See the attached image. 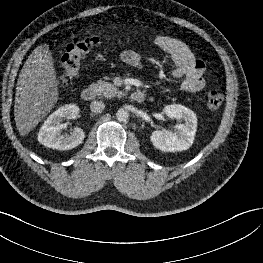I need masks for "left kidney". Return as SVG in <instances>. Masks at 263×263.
I'll use <instances>...</instances> for the list:
<instances>
[{"label": "left kidney", "mask_w": 263, "mask_h": 263, "mask_svg": "<svg viewBox=\"0 0 263 263\" xmlns=\"http://www.w3.org/2000/svg\"><path fill=\"white\" fill-rule=\"evenodd\" d=\"M170 119L184 120L183 124L175 125V132L156 130L151 134L152 144L163 152H177L189 149L194 141L197 128L196 114L185 106L172 104L164 108Z\"/></svg>", "instance_id": "5707ae66"}]
</instances>
